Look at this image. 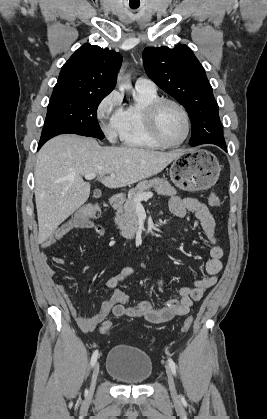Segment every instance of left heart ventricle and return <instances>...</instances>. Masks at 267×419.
<instances>
[{"instance_id": "obj_1", "label": "left heart ventricle", "mask_w": 267, "mask_h": 419, "mask_svg": "<svg viewBox=\"0 0 267 419\" xmlns=\"http://www.w3.org/2000/svg\"><path fill=\"white\" fill-rule=\"evenodd\" d=\"M158 127L165 141H180L185 134V120L181 111L172 104H165L158 115Z\"/></svg>"}]
</instances>
